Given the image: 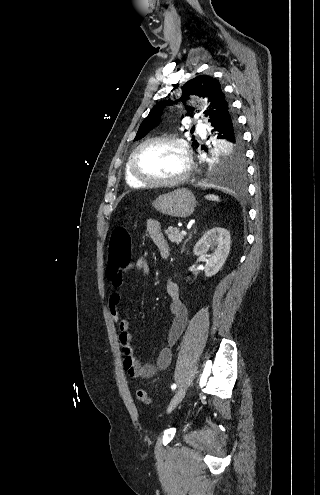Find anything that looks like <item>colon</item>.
Here are the masks:
<instances>
[{
	"label": "colon",
	"instance_id": "colon-1",
	"mask_svg": "<svg viewBox=\"0 0 320 495\" xmlns=\"http://www.w3.org/2000/svg\"><path fill=\"white\" fill-rule=\"evenodd\" d=\"M131 243V235L125 227L118 226L113 229L108 243L109 272L118 273L129 265L131 261ZM136 397L145 405L152 403L144 389H138Z\"/></svg>",
	"mask_w": 320,
	"mask_h": 495
}]
</instances>
